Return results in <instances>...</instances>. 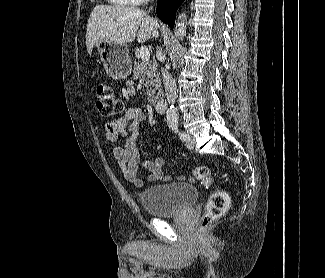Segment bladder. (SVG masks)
I'll use <instances>...</instances> for the list:
<instances>
[{"label": "bladder", "mask_w": 325, "mask_h": 278, "mask_svg": "<svg viewBox=\"0 0 325 278\" xmlns=\"http://www.w3.org/2000/svg\"><path fill=\"white\" fill-rule=\"evenodd\" d=\"M197 198V188L182 182L152 185L139 194L141 205L151 217L181 213L194 205Z\"/></svg>", "instance_id": "obj_1"}]
</instances>
